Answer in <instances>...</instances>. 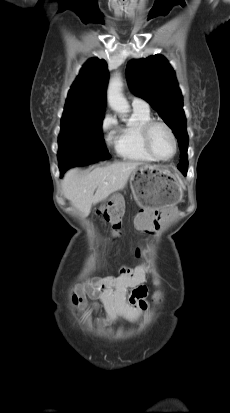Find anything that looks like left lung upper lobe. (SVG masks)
Returning <instances> with one entry per match:
<instances>
[{"label":"left lung upper lobe","instance_id":"1","mask_svg":"<svg viewBox=\"0 0 230 413\" xmlns=\"http://www.w3.org/2000/svg\"><path fill=\"white\" fill-rule=\"evenodd\" d=\"M127 79L131 91L145 99L172 129L180 148L178 169H188V134L183 110V97L175 73L162 55L131 60L127 64Z\"/></svg>","mask_w":230,"mask_h":413}]
</instances>
